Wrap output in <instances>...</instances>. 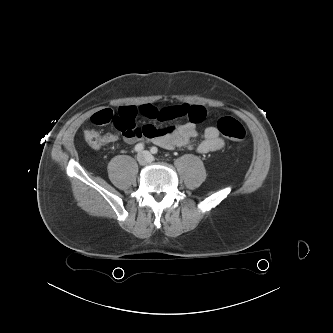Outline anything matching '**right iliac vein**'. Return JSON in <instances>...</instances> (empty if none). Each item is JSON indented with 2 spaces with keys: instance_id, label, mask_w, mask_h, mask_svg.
<instances>
[{
  "instance_id": "1",
  "label": "right iliac vein",
  "mask_w": 333,
  "mask_h": 333,
  "mask_svg": "<svg viewBox=\"0 0 333 333\" xmlns=\"http://www.w3.org/2000/svg\"><path fill=\"white\" fill-rule=\"evenodd\" d=\"M137 161L140 165H145L149 161L148 156L143 152L137 155Z\"/></svg>"
}]
</instances>
